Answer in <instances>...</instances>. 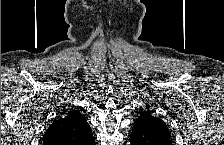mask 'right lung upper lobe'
<instances>
[{
  "instance_id": "cb5924a9",
  "label": "right lung upper lobe",
  "mask_w": 224,
  "mask_h": 145,
  "mask_svg": "<svg viewBox=\"0 0 224 145\" xmlns=\"http://www.w3.org/2000/svg\"><path fill=\"white\" fill-rule=\"evenodd\" d=\"M94 140L85 117L73 110L49 126L43 136V145H92Z\"/></svg>"
}]
</instances>
